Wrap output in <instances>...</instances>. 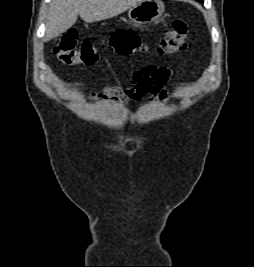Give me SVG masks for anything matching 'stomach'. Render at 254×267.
Wrapping results in <instances>:
<instances>
[{
    "label": "stomach",
    "mask_w": 254,
    "mask_h": 267,
    "mask_svg": "<svg viewBox=\"0 0 254 267\" xmlns=\"http://www.w3.org/2000/svg\"><path fill=\"white\" fill-rule=\"evenodd\" d=\"M165 6L161 0H142L128 10L131 22L139 25L150 24L164 13Z\"/></svg>",
    "instance_id": "stomach-1"
}]
</instances>
